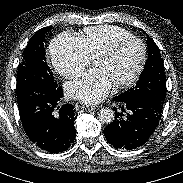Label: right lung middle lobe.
<instances>
[{
    "label": "right lung middle lobe",
    "instance_id": "obj_1",
    "mask_svg": "<svg viewBox=\"0 0 183 183\" xmlns=\"http://www.w3.org/2000/svg\"><path fill=\"white\" fill-rule=\"evenodd\" d=\"M51 26L38 30L24 49L17 71V100L31 92H51L58 88L45 58V37Z\"/></svg>",
    "mask_w": 183,
    "mask_h": 183
}]
</instances>
